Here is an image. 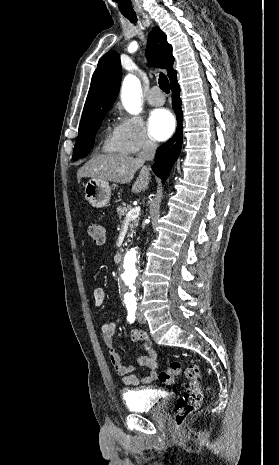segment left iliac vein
Returning <instances> with one entry per match:
<instances>
[{"label": "left iliac vein", "instance_id": "left-iliac-vein-1", "mask_svg": "<svg viewBox=\"0 0 279 465\" xmlns=\"http://www.w3.org/2000/svg\"><path fill=\"white\" fill-rule=\"evenodd\" d=\"M137 320L139 323L144 324L146 322L144 315L142 314L141 310L138 309L137 311Z\"/></svg>", "mask_w": 279, "mask_h": 465}]
</instances>
